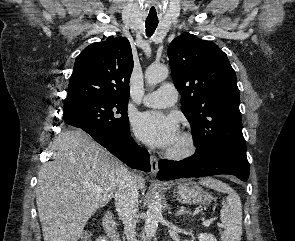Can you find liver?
<instances>
[{"label":"liver","mask_w":295,"mask_h":241,"mask_svg":"<svg viewBox=\"0 0 295 241\" xmlns=\"http://www.w3.org/2000/svg\"><path fill=\"white\" fill-rule=\"evenodd\" d=\"M51 152L53 160L40 169L36 188L44 241H77L89 218L113 198L122 164L80 130L59 134ZM133 178L138 189L144 188L140 175Z\"/></svg>","instance_id":"liver-1"}]
</instances>
